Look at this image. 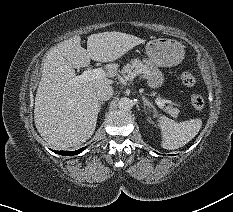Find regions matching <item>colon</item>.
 Masks as SVG:
<instances>
[{
	"mask_svg": "<svg viewBox=\"0 0 233 212\" xmlns=\"http://www.w3.org/2000/svg\"><path fill=\"white\" fill-rule=\"evenodd\" d=\"M181 80L187 87H194L196 85L195 77L189 72H183L181 74ZM191 103L196 111H201L204 108V100L199 94L191 95Z\"/></svg>",
	"mask_w": 233,
	"mask_h": 212,
	"instance_id": "obj_1",
	"label": "colon"
}]
</instances>
